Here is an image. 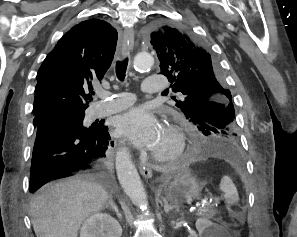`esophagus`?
<instances>
[{"label": "esophagus", "instance_id": "obj_1", "mask_svg": "<svg viewBox=\"0 0 297 237\" xmlns=\"http://www.w3.org/2000/svg\"><path fill=\"white\" fill-rule=\"evenodd\" d=\"M134 46V30L133 28H125L123 35V42L121 48V54L123 57L128 55V53L133 49ZM140 172L143 177L151 178L152 177V169L150 166L145 165L140 167Z\"/></svg>", "mask_w": 297, "mask_h": 237}]
</instances>
